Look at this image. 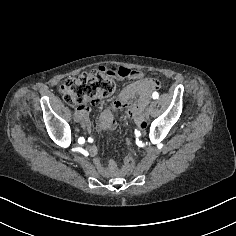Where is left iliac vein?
<instances>
[{"label": "left iliac vein", "instance_id": "4c4485c4", "mask_svg": "<svg viewBox=\"0 0 236 236\" xmlns=\"http://www.w3.org/2000/svg\"><path fill=\"white\" fill-rule=\"evenodd\" d=\"M151 109H146L145 111V117H150Z\"/></svg>", "mask_w": 236, "mask_h": 236}]
</instances>
